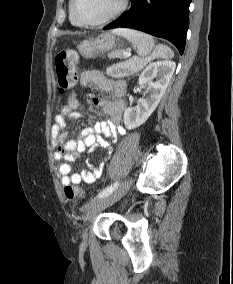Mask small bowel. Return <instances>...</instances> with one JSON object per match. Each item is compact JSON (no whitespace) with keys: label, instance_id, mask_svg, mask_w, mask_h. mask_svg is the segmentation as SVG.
<instances>
[{"label":"small bowel","instance_id":"c3829d8e","mask_svg":"<svg viewBox=\"0 0 233 284\" xmlns=\"http://www.w3.org/2000/svg\"><path fill=\"white\" fill-rule=\"evenodd\" d=\"M80 85L83 87L94 85L101 91L111 94L113 98L107 99L98 96L92 98V103L102 109L103 113L107 115V120L84 128L76 139L66 140L67 133L65 131L67 117L78 119L81 116L79 101L76 96L71 95L55 116V123L51 130V140L54 158L61 161L58 172L64 186H76L82 182H95L101 176L104 164L112 154L109 142L101 136L115 139L119 135L126 133L125 128L120 123L125 107V103L120 99V96L125 90V84L107 79L100 71L86 70L80 75ZM97 147H103L107 150L103 161L91 170L72 172L71 163L88 149Z\"/></svg>","mask_w":233,"mask_h":284}]
</instances>
